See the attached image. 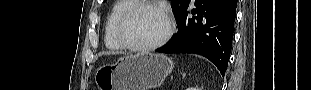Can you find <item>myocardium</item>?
<instances>
[{
  "mask_svg": "<svg viewBox=\"0 0 311 90\" xmlns=\"http://www.w3.org/2000/svg\"><path fill=\"white\" fill-rule=\"evenodd\" d=\"M143 8H152L159 11L165 18L167 23V30L165 34L155 43L145 46H138L131 43L125 35V28L131 18ZM175 31V22L170 11L163 5L150 1H141L130 7L119 19L117 24V37L122 46L132 52L145 53L153 51L164 44L172 37Z\"/></svg>",
  "mask_w": 311,
  "mask_h": 90,
  "instance_id": "obj_1",
  "label": "myocardium"
}]
</instances>
